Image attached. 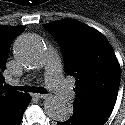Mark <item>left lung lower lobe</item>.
<instances>
[{"mask_svg":"<svg viewBox=\"0 0 125 125\" xmlns=\"http://www.w3.org/2000/svg\"><path fill=\"white\" fill-rule=\"evenodd\" d=\"M108 118L74 109L70 119L57 122V125H104Z\"/></svg>","mask_w":125,"mask_h":125,"instance_id":"left-lung-lower-lobe-1","label":"left lung lower lobe"}]
</instances>
